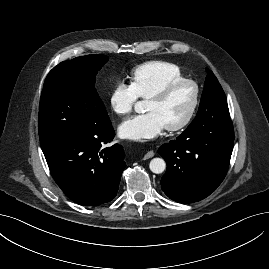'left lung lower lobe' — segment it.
<instances>
[{"label": "left lung lower lobe", "mask_w": 269, "mask_h": 269, "mask_svg": "<svg viewBox=\"0 0 269 269\" xmlns=\"http://www.w3.org/2000/svg\"><path fill=\"white\" fill-rule=\"evenodd\" d=\"M233 144L230 118L189 125L176 140L158 149L167 164L161 179L163 192L178 203L209 196L226 176Z\"/></svg>", "instance_id": "1"}]
</instances>
